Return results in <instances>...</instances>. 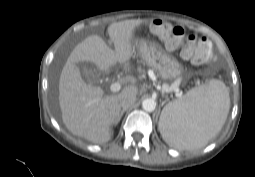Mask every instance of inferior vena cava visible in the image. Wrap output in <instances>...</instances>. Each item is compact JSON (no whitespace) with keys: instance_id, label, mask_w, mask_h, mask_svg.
I'll return each instance as SVG.
<instances>
[{"instance_id":"602c4592","label":"inferior vena cava","mask_w":255,"mask_h":177,"mask_svg":"<svg viewBox=\"0 0 255 177\" xmlns=\"http://www.w3.org/2000/svg\"><path fill=\"white\" fill-rule=\"evenodd\" d=\"M135 102H136V96L133 94H127L121 98L120 106L123 109H128L129 107L133 106Z\"/></svg>"}]
</instances>
